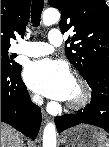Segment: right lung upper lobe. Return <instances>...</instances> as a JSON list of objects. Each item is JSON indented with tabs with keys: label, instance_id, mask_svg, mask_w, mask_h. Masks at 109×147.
<instances>
[{
	"label": "right lung upper lobe",
	"instance_id": "1",
	"mask_svg": "<svg viewBox=\"0 0 109 147\" xmlns=\"http://www.w3.org/2000/svg\"><path fill=\"white\" fill-rule=\"evenodd\" d=\"M30 16V0H1V48L10 47L15 32L24 34Z\"/></svg>",
	"mask_w": 109,
	"mask_h": 147
}]
</instances>
